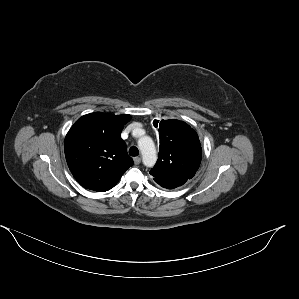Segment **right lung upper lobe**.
Listing matches in <instances>:
<instances>
[{
    "label": "right lung upper lobe",
    "instance_id": "obj_1",
    "mask_svg": "<svg viewBox=\"0 0 299 299\" xmlns=\"http://www.w3.org/2000/svg\"><path fill=\"white\" fill-rule=\"evenodd\" d=\"M130 119L128 114L95 112L82 116L70 128L64 141L65 157L83 187L107 191L133 165L121 139V131Z\"/></svg>",
    "mask_w": 299,
    "mask_h": 299
}]
</instances>
